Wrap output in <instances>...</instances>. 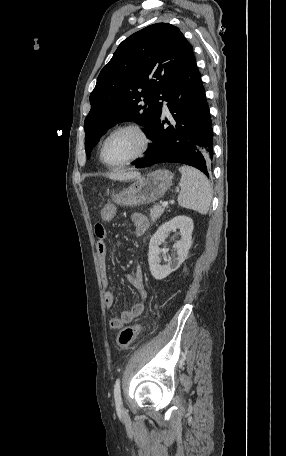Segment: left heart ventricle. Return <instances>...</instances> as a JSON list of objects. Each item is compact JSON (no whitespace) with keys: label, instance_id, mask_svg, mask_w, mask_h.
<instances>
[{"label":"left heart ventricle","instance_id":"left-heart-ventricle-1","mask_svg":"<svg viewBox=\"0 0 286 456\" xmlns=\"http://www.w3.org/2000/svg\"><path fill=\"white\" fill-rule=\"evenodd\" d=\"M142 146L141 137L133 130H124L112 136L105 149L109 163L119 164L135 156Z\"/></svg>","mask_w":286,"mask_h":456}]
</instances>
